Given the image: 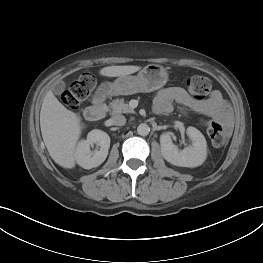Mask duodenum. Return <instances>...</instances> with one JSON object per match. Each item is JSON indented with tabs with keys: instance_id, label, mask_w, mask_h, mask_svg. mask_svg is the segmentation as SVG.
Here are the masks:
<instances>
[{
	"instance_id": "1",
	"label": "duodenum",
	"mask_w": 263,
	"mask_h": 263,
	"mask_svg": "<svg viewBox=\"0 0 263 263\" xmlns=\"http://www.w3.org/2000/svg\"><path fill=\"white\" fill-rule=\"evenodd\" d=\"M105 99L106 90L105 88H100L93 98L92 105L86 108L84 112L86 120L90 122H96L104 118L106 114V106L104 103Z\"/></svg>"
}]
</instances>
